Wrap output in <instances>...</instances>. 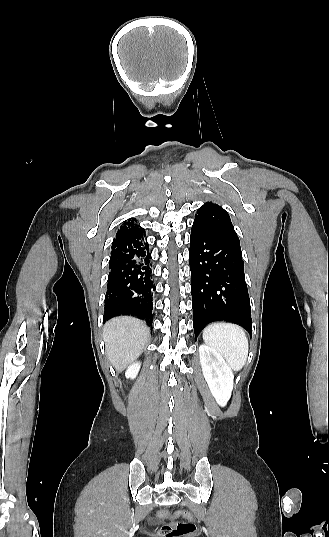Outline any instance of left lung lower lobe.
Segmentation results:
<instances>
[{
	"mask_svg": "<svg viewBox=\"0 0 329 537\" xmlns=\"http://www.w3.org/2000/svg\"><path fill=\"white\" fill-rule=\"evenodd\" d=\"M189 262L195 339L215 321L241 325L251 335V306L241 248L193 223Z\"/></svg>",
	"mask_w": 329,
	"mask_h": 537,
	"instance_id": "obj_1",
	"label": "left lung lower lobe"
}]
</instances>
